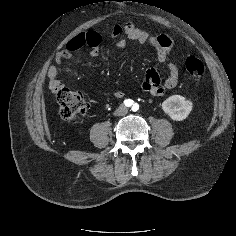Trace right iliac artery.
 <instances>
[{"label": "right iliac artery", "instance_id": "82829eb1", "mask_svg": "<svg viewBox=\"0 0 236 236\" xmlns=\"http://www.w3.org/2000/svg\"><path fill=\"white\" fill-rule=\"evenodd\" d=\"M124 104L125 106L130 107L133 104V101L131 99H126L124 100Z\"/></svg>", "mask_w": 236, "mask_h": 236}]
</instances>
